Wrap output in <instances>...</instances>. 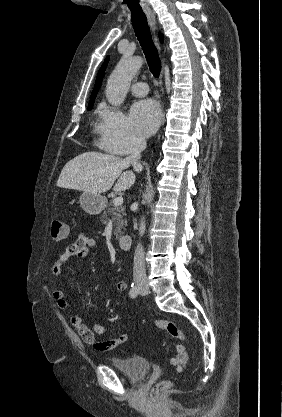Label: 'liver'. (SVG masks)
Returning a JSON list of instances; mask_svg holds the SVG:
<instances>
[{
  "mask_svg": "<svg viewBox=\"0 0 282 417\" xmlns=\"http://www.w3.org/2000/svg\"><path fill=\"white\" fill-rule=\"evenodd\" d=\"M130 164L127 158H120L114 154H103L94 150L82 152L66 162L57 180V186L76 188L84 192H107L119 176L113 190H127L135 182L132 170L123 172Z\"/></svg>",
  "mask_w": 282,
  "mask_h": 417,
  "instance_id": "1",
  "label": "liver"
}]
</instances>
